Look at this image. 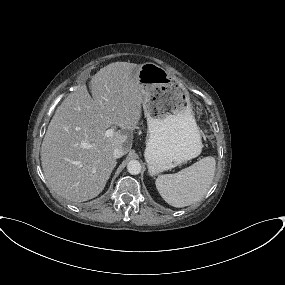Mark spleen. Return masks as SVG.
<instances>
[{
    "instance_id": "spleen-1",
    "label": "spleen",
    "mask_w": 285,
    "mask_h": 285,
    "mask_svg": "<svg viewBox=\"0 0 285 285\" xmlns=\"http://www.w3.org/2000/svg\"><path fill=\"white\" fill-rule=\"evenodd\" d=\"M216 161L204 157L178 173L157 177L155 184L161 197L173 207H185L201 200L214 179Z\"/></svg>"
}]
</instances>
